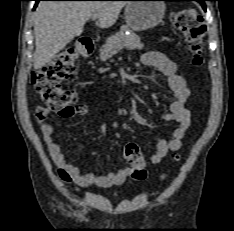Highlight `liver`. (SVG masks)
Instances as JSON below:
<instances>
[{"mask_svg":"<svg viewBox=\"0 0 234 231\" xmlns=\"http://www.w3.org/2000/svg\"><path fill=\"white\" fill-rule=\"evenodd\" d=\"M124 1H42L34 20V68L41 69L75 36L81 35L85 23L93 14L97 25L109 28L115 24Z\"/></svg>","mask_w":234,"mask_h":231,"instance_id":"1","label":"liver"}]
</instances>
